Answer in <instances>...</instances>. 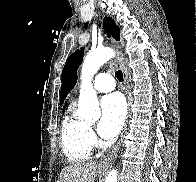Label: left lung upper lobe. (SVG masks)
<instances>
[{"mask_svg":"<svg viewBox=\"0 0 196 182\" xmlns=\"http://www.w3.org/2000/svg\"><path fill=\"white\" fill-rule=\"evenodd\" d=\"M103 28L105 29V33H107L108 37L112 35L113 38L119 40L120 30L111 17L104 18ZM83 54V48H81V50H76L73 54H71L68 57L64 65L62 71L60 104L63 103L64 99L66 98L68 93L73 89L77 82V69L82 62Z\"/></svg>","mask_w":196,"mask_h":182,"instance_id":"obj_1","label":"left lung upper lobe"}]
</instances>
